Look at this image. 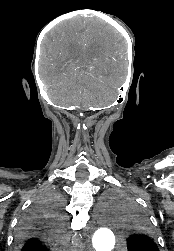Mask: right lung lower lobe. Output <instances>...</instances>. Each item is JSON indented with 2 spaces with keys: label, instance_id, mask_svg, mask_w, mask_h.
Wrapping results in <instances>:
<instances>
[{
  "label": "right lung lower lobe",
  "instance_id": "right-lung-lower-lobe-1",
  "mask_svg": "<svg viewBox=\"0 0 174 251\" xmlns=\"http://www.w3.org/2000/svg\"><path fill=\"white\" fill-rule=\"evenodd\" d=\"M25 221L20 225V227L17 231V236H16V240H15L16 250L24 251L26 248L32 247V245L35 244V242H38L42 246H44L45 243L47 242L45 239L34 236V235L27 234L28 230H29V226H28V224L25 223ZM59 240H60V238L56 242V246H55L56 248H59V245H58ZM48 251H50V250H48Z\"/></svg>",
  "mask_w": 174,
  "mask_h": 251
}]
</instances>
